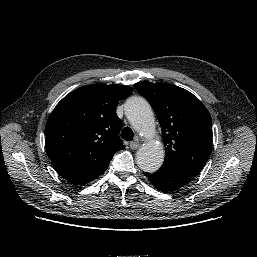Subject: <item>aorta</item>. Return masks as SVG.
Masks as SVG:
<instances>
[{
    "label": "aorta",
    "instance_id": "obj_1",
    "mask_svg": "<svg viewBox=\"0 0 257 257\" xmlns=\"http://www.w3.org/2000/svg\"><path fill=\"white\" fill-rule=\"evenodd\" d=\"M125 115L131 125L146 137L155 132V122L149 103L140 97L130 99L125 105ZM136 161L141 170L149 173L157 171L164 161V150L160 143L148 141L136 153Z\"/></svg>",
    "mask_w": 257,
    "mask_h": 257
}]
</instances>
